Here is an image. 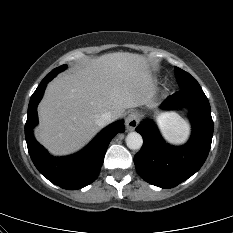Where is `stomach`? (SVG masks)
Here are the masks:
<instances>
[{"mask_svg":"<svg viewBox=\"0 0 233 233\" xmlns=\"http://www.w3.org/2000/svg\"><path fill=\"white\" fill-rule=\"evenodd\" d=\"M153 106H154V105H153V104H150V103L146 105V107H147L148 109L153 108Z\"/></svg>","mask_w":233,"mask_h":233,"instance_id":"0dacf381","label":"stomach"}]
</instances>
